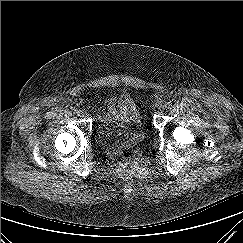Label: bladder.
<instances>
[{
  "instance_id": "bladder-1",
  "label": "bladder",
  "mask_w": 243,
  "mask_h": 243,
  "mask_svg": "<svg viewBox=\"0 0 243 243\" xmlns=\"http://www.w3.org/2000/svg\"><path fill=\"white\" fill-rule=\"evenodd\" d=\"M145 137L141 112L135 101L122 94L114 115L105 113L97 123L95 139L102 146H134Z\"/></svg>"
}]
</instances>
